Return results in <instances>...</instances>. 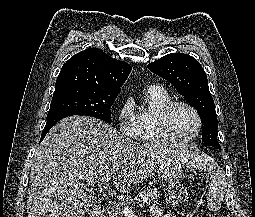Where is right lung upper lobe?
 <instances>
[{"label": "right lung upper lobe", "mask_w": 255, "mask_h": 217, "mask_svg": "<svg viewBox=\"0 0 255 217\" xmlns=\"http://www.w3.org/2000/svg\"><path fill=\"white\" fill-rule=\"evenodd\" d=\"M130 71L131 67L126 62L113 59L100 49L88 48L62 66L55 89L81 86L119 92Z\"/></svg>", "instance_id": "1"}]
</instances>
